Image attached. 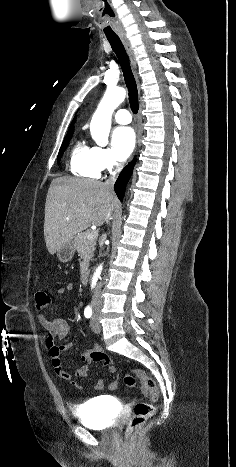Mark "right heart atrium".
I'll return each mask as SVG.
<instances>
[{
  "label": "right heart atrium",
  "mask_w": 236,
  "mask_h": 467,
  "mask_svg": "<svg viewBox=\"0 0 236 467\" xmlns=\"http://www.w3.org/2000/svg\"><path fill=\"white\" fill-rule=\"evenodd\" d=\"M92 149L94 164L100 172H111L116 168L117 163L110 149L102 146H94Z\"/></svg>",
  "instance_id": "obj_1"
}]
</instances>
